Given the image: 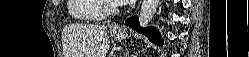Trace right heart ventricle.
Here are the masks:
<instances>
[{
  "mask_svg": "<svg viewBox=\"0 0 249 57\" xmlns=\"http://www.w3.org/2000/svg\"><path fill=\"white\" fill-rule=\"evenodd\" d=\"M69 15L80 21H98L105 17L101 10V0H69Z\"/></svg>",
  "mask_w": 249,
  "mask_h": 57,
  "instance_id": "right-heart-ventricle-1",
  "label": "right heart ventricle"
}]
</instances>
